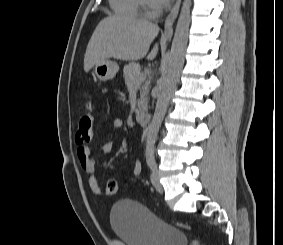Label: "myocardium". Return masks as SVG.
<instances>
[{
    "instance_id": "myocardium-1",
    "label": "myocardium",
    "mask_w": 283,
    "mask_h": 245,
    "mask_svg": "<svg viewBox=\"0 0 283 245\" xmlns=\"http://www.w3.org/2000/svg\"><path fill=\"white\" fill-rule=\"evenodd\" d=\"M142 11L147 16H154L157 13L155 5L151 4L149 0H139Z\"/></svg>"
}]
</instances>
